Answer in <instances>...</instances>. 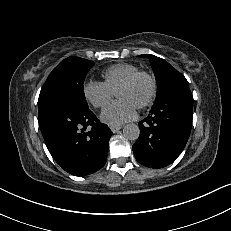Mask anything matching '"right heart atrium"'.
I'll use <instances>...</instances> for the list:
<instances>
[{"label":"right heart atrium","instance_id":"1","mask_svg":"<svg viewBox=\"0 0 231 231\" xmlns=\"http://www.w3.org/2000/svg\"><path fill=\"white\" fill-rule=\"evenodd\" d=\"M84 98L96 109L104 108L112 98L113 92L99 81L89 80L82 85Z\"/></svg>","mask_w":231,"mask_h":231}]
</instances>
